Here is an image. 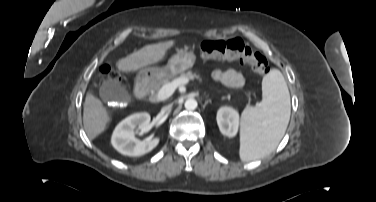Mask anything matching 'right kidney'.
<instances>
[{"label": "right kidney", "instance_id": "obj_1", "mask_svg": "<svg viewBox=\"0 0 376 202\" xmlns=\"http://www.w3.org/2000/svg\"><path fill=\"white\" fill-rule=\"evenodd\" d=\"M151 120L147 112L134 113L123 119L113 131L111 143L123 155L142 156L153 150L159 143V138H148L140 141L135 138L134 129L145 128Z\"/></svg>", "mask_w": 376, "mask_h": 202}]
</instances>
